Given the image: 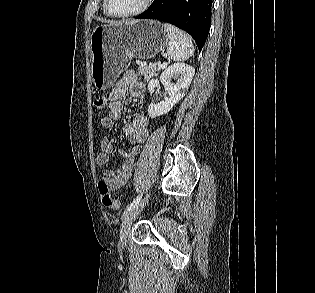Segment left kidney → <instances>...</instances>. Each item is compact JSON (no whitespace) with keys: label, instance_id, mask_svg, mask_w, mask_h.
<instances>
[{"label":"left kidney","instance_id":"1","mask_svg":"<svg viewBox=\"0 0 315 293\" xmlns=\"http://www.w3.org/2000/svg\"><path fill=\"white\" fill-rule=\"evenodd\" d=\"M194 74L195 69L185 63H175L169 66L160 76V81L169 97H165L158 104L151 103L148 107L149 117L156 118L167 114L185 96ZM172 79L176 80V83H173Z\"/></svg>","mask_w":315,"mask_h":293}]
</instances>
